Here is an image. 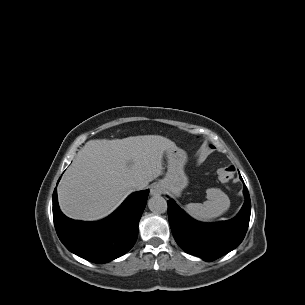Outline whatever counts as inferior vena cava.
I'll use <instances>...</instances> for the list:
<instances>
[{"label":"inferior vena cava","mask_w":305,"mask_h":305,"mask_svg":"<svg viewBox=\"0 0 305 305\" xmlns=\"http://www.w3.org/2000/svg\"><path fill=\"white\" fill-rule=\"evenodd\" d=\"M132 188L134 190H142L144 188V186L142 184H139V183H133Z\"/></svg>","instance_id":"inferior-vena-cava-1"}]
</instances>
